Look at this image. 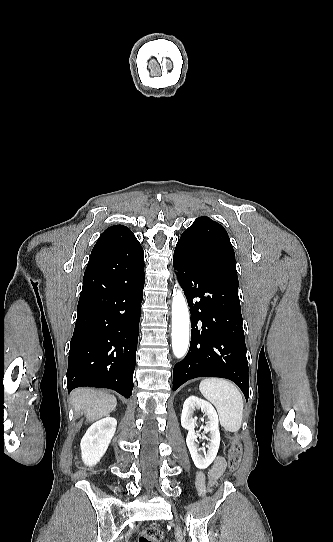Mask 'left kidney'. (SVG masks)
<instances>
[{
    "label": "left kidney",
    "mask_w": 333,
    "mask_h": 542,
    "mask_svg": "<svg viewBox=\"0 0 333 542\" xmlns=\"http://www.w3.org/2000/svg\"><path fill=\"white\" fill-rule=\"evenodd\" d=\"M195 408H200V410H202V412L208 416L209 420L204 430L205 432H210V444L207 452H204V458L198 454L200 450L197 444H195L198 438V436H195L194 430L196 426V418H192L193 410H195ZM181 426L182 428H185V430H188L186 444L196 468H199V470H205V468H208V466L212 464L213 460H215L220 446V434L216 410H214L213 406H211L209 402H205V400H201V398H197V396H189V398H187L183 404ZM202 438H205V436H202Z\"/></svg>",
    "instance_id": "left-kidney-1"
}]
</instances>
